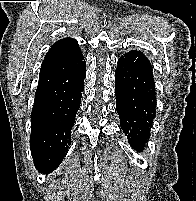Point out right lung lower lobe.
Instances as JSON below:
<instances>
[{
	"label": "right lung lower lobe",
	"mask_w": 196,
	"mask_h": 201,
	"mask_svg": "<svg viewBox=\"0 0 196 201\" xmlns=\"http://www.w3.org/2000/svg\"><path fill=\"white\" fill-rule=\"evenodd\" d=\"M85 77L84 58H55L42 63L30 136L34 164L42 173L54 171L69 149Z\"/></svg>",
	"instance_id": "98d812e1"
}]
</instances>
